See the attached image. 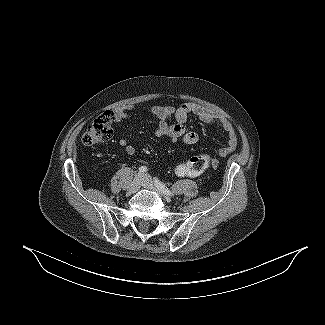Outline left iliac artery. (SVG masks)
I'll return each instance as SVG.
<instances>
[{
	"mask_svg": "<svg viewBox=\"0 0 325 325\" xmlns=\"http://www.w3.org/2000/svg\"><path fill=\"white\" fill-rule=\"evenodd\" d=\"M153 181H154V184H155V186L163 193V194H166V195H169V196H171V195H173L172 194V192L169 190V188H167L166 186H165V184H163L158 178H154L153 179Z\"/></svg>",
	"mask_w": 325,
	"mask_h": 325,
	"instance_id": "left-iliac-artery-1",
	"label": "left iliac artery"
}]
</instances>
